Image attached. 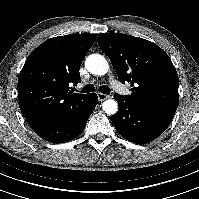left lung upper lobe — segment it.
I'll use <instances>...</instances> for the list:
<instances>
[{"label": "left lung upper lobe", "instance_id": "left-lung-upper-lobe-1", "mask_svg": "<svg viewBox=\"0 0 199 199\" xmlns=\"http://www.w3.org/2000/svg\"><path fill=\"white\" fill-rule=\"evenodd\" d=\"M98 44L110 58L119 80L133 86L126 99L173 118L179 104V80L169 56L160 47L121 33L99 34Z\"/></svg>", "mask_w": 199, "mask_h": 199}]
</instances>
